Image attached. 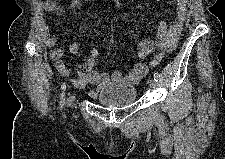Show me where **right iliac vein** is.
I'll return each instance as SVG.
<instances>
[{
	"label": "right iliac vein",
	"instance_id": "1",
	"mask_svg": "<svg viewBox=\"0 0 225 159\" xmlns=\"http://www.w3.org/2000/svg\"><path fill=\"white\" fill-rule=\"evenodd\" d=\"M73 100H74V99H73V97H70V98L68 99V105H69V106H71V105H72Z\"/></svg>",
	"mask_w": 225,
	"mask_h": 159
}]
</instances>
